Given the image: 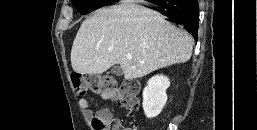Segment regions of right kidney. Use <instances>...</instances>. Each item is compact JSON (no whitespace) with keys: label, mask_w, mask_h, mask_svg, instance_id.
Masks as SVG:
<instances>
[{"label":"right kidney","mask_w":257,"mask_h":130,"mask_svg":"<svg viewBox=\"0 0 257 130\" xmlns=\"http://www.w3.org/2000/svg\"><path fill=\"white\" fill-rule=\"evenodd\" d=\"M170 81L166 76L156 75L148 80L143 90V110L147 118L158 116L167 101L166 90Z\"/></svg>","instance_id":"ca27d5eb"}]
</instances>
